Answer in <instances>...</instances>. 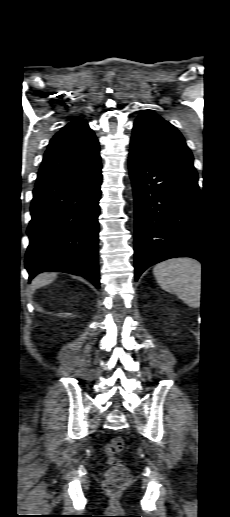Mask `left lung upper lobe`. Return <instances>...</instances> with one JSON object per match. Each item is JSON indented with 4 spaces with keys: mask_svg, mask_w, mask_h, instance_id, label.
Here are the masks:
<instances>
[{
    "mask_svg": "<svg viewBox=\"0 0 230 517\" xmlns=\"http://www.w3.org/2000/svg\"><path fill=\"white\" fill-rule=\"evenodd\" d=\"M130 146L153 159L194 168L192 153L181 133L156 114L144 112L136 118Z\"/></svg>",
    "mask_w": 230,
    "mask_h": 517,
    "instance_id": "5c2ea615",
    "label": "left lung upper lobe"
}]
</instances>
